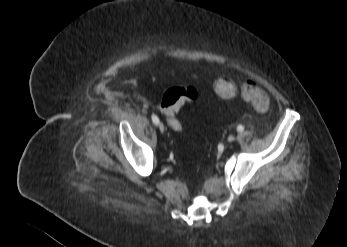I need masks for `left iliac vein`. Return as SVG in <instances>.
I'll return each instance as SVG.
<instances>
[{
    "mask_svg": "<svg viewBox=\"0 0 347 247\" xmlns=\"http://www.w3.org/2000/svg\"><path fill=\"white\" fill-rule=\"evenodd\" d=\"M228 142H233L235 140V137L233 135L228 136Z\"/></svg>",
    "mask_w": 347,
    "mask_h": 247,
    "instance_id": "obj_1",
    "label": "left iliac vein"
}]
</instances>
